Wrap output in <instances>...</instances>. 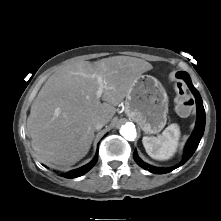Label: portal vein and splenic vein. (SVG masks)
Instances as JSON below:
<instances>
[{"instance_id": "18ae733b", "label": "portal vein and splenic vein", "mask_w": 221, "mask_h": 221, "mask_svg": "<svg viewBox=\"0 0 221 221\" xmlns=\"http://www.w3.org/2000/svg\"><path fill=\"white\" fill-rule=\"evenodd\" d=\"M97 80H98V83H99V89H98V91H97V98H100L101 97V95H102V93H103V89H104V85H103V78L101 77V76H98L97 77Z\"/></svg>"}]
</instances>
